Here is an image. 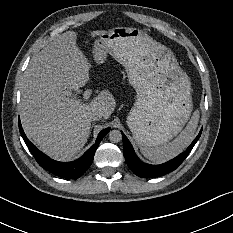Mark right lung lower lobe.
<instances>
[{
    "label": "right lung lower lobe",
    "instance_id": "right-lung-lower-lobe-1",
    "mask_svg": "<svg viewBox=\"0 0 233 233\" xmlns=\"http://www.w3.org/2000/svg\"><path fill=\"white\" fill-rule=\"evenodd\" d=\"M19 131L26 142L30 152L38 162V164L43 167L44 169L48 170L49 172L63 178L67 179H76L79 178L81 175H83L87 169L90 167L94 154L96 149L98 148L99 143L103 139V137L110 131V128H106L102 130L96 140V143L92 145L85 153L84 155L72 162H58L44 153H42L40 150H38L26 137L20 120H19Z\"/></svg>",
    "mask_w": 233,
    "mask_h": 233
}]
</instances>
